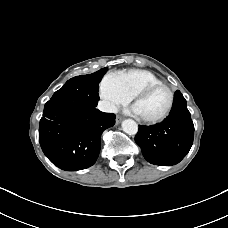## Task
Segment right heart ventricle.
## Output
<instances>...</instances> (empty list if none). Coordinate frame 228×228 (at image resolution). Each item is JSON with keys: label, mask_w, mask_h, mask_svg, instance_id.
<instances>
[{"label": "right heart ventricle", "mask_w": 228, "mask_h": 228, "mask_svg": "<svg viewBox=\"0 0 228 228\" xmlns=\"http://www.w3.org/2000/svg\"><path fill=\"white\" fill-rule=\"evenodd\" d=\"M121 86L132 98L143 87L162 83V81L151 71L144 69H128L117 74Z\"/></svg>", "instance_id": "obj_1"}]
</instances>
